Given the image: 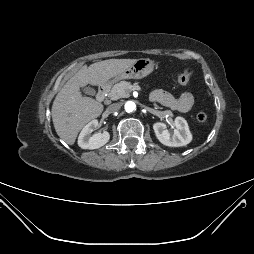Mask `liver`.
Wrapping results in <instances>:
<instances>
[{
	"mask_svg": "<svg viewBox=\"0 0 254 254\" xmlns=\"http://www.w3.org/2000/svg\"><path fill=\"white\" fill-rule=\"evenodd\" d=\"M137 59H109L83 66L55 97L52 120L58 136L67 144L75 143L79 131L90 120L97 118L103 105L90 97H83L80 87L102 85L130 67Z\"/></svg>",
	"mask_w": 254,
	"mask_h": 254,
	"instance_id": "obj_1",
	"label": "liver"
}]
</instances>
